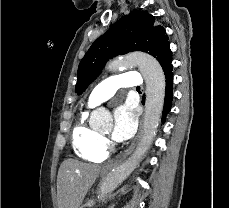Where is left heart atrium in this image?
Masks as SVG:
<instances>
[{"label": "left heart atrium", "instance_id": "obj_1", "mask_svg": "<svg viewBox=\"0 0 229 208\" xmlns=\"http://www.w3.org/2000/svg\"><path fill=\"white\" fill-rule=\"evenodd\" d=\"M137 128V110L135 106L126 102L118 106L114 112V128L112 136L122 142L133 136Z\"/></svg>", "mask_w": 229, "mask_h": 208}]
</instances>
